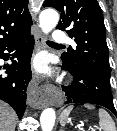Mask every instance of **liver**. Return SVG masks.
Masks as SVG:
<instances>
[{
    "label": "liver",
    "mask_w": 117,
    "mask_h": 131,
    "mask_svg": "<svg viewBox=\"0 0 117 131\" xmlns=\"http://www.w3.org/2000/svg\"><path fill=\"white\" fill-rule=\"evenodd\" d=\"M17 115L5 102L0 101V131H15Z\"/></svg>",
    "instance_id": "6515ba94"
}]
</instances>
